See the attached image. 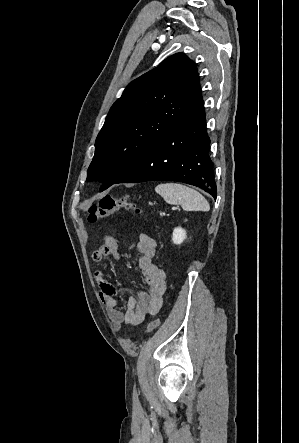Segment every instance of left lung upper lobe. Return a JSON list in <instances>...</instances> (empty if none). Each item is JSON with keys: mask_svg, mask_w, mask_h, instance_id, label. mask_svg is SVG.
Instances as JSON below:
<instances>
[{"mask_svg": "<svg viewBox=\"0 0 299 443\" xmlns=\"http://www.w3.org/2000/svg\"><path fill=\"white\" fill-rule=\"evenodd\" d=\"M202 99L195 63L176 53L132 81L113 104L95 142L87 180L103 191Z\"/></svg>", "mask_w": 299, "mask_h": 443, "instance_id": "5c2ea615", "label": "left lung upper lobe"}]
</instances>
